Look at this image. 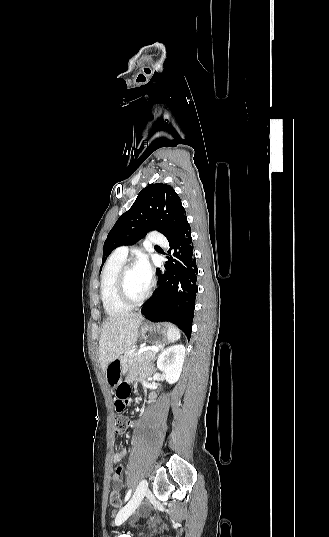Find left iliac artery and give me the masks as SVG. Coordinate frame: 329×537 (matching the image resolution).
Wrapping results in <instances>:
<instances>
[{
  "label": "left iliac artery",
  "instance_id": "1",
  "mask_svg": "<svg viewBox=\"0 0 329 537\" xmlns=\"http://www.w3.org/2000/svg\"><path fill=\"white\" fill-rule=\"evenodd\" d=\"M131 493H132V489H129V491L127 492L126 496H125V499H124V502H127L131 496Z\"/></svg>",
  "mask_w": 329,
  "mask_h": 537
}]
</instances>
